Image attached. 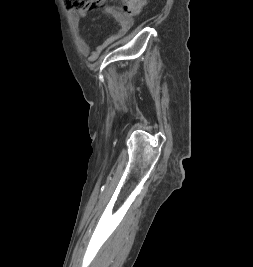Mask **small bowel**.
Returning <instances> with one entry per match:
<instances>
[{"label": "small bowel", "instance_id": "c3829d8e", "mask_svg": "<svg viewBox=\"0 0 253 267\" xmlns=\"http://www.w3.org/2000/svg\"><path fill=\"white\" fill-rule=\"evenodd\" d=\"M106 12L117 22V29L102 44L91 50L87 41L80 34V18L75 12H70L69 18L76 34V42L79 52L90 61L96 60L99 55L110 45L126 35L133 25V18L120 12L116 7H107Z\"/></svg>", "mask_w": 253, "mask_h": 267}]
</instances>
